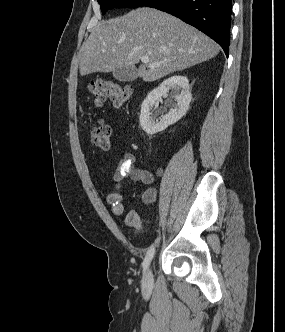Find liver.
I'll return each mask as SVG.
<instances>
[{
  "mask_svg": "<svg viewBox=\"0 0 285 332\" xmlns=\"http://www.w3.org/2000/svg\"><path fill=\"white\" fill-rule=\"evenodd\" d=\"M220 47L207 35L180 19L153 8H138L93 27L79 52L82 76L132 67L142 57L137 75L145 82L158 80L207 61ZM155 63L160 66L150 68Z\"/></svg>",
  "mask_w": 285,
  "mask_h": 332,
  "instance_id": "1",
  "label": "liver"
}]
</instances>
